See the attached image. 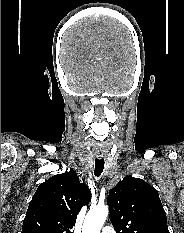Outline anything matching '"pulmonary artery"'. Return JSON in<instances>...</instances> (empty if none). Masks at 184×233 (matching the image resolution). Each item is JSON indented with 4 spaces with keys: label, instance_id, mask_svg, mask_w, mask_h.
Masks as SVG:
<instances>
[{
    "label": "pulmonary artery",
    "instance_id": "obj_1",
    "mask_svg": "<svg viewBox=\"0 0 184 233\" xmlns=\"http://www.w3.org/2000/svg\"><path fill=\"white\" fill-rule=\"evenodd\" d=\"M101 233H116V231L111 226H104Z\"/></svg>",
    "mask_w": 184,
    "mask_h": 233
}]
</instances>
